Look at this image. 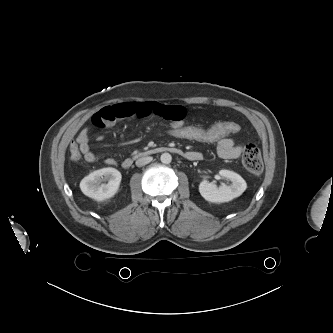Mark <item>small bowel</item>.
<instances>
[{"label":"small bowel","mask_w":333,"mask_h":333,"mask_svg":"<svg viewBox=\"0 0 333 333\" xmlns=\"http://www.w3.org/2000/svg\"><path fill=\"white\" fill-rule=\"evenodd\" d=\"M156 116L173 124H183L185 122L186 110L182 106L168 105L159 102H126L111 106H106L97 111L91 118L94 125L98 127H110L117 121L130 117H148ZM102 136H98L97 140L101 141ZM77 145L84 159L89 163L99 160V156L95 154L89 146V129L84 127L80 130L76 138ZM243 151V144L235 141L233 138H224L217 142L218 155L227 160L238 158ZM186 157L190 160H199L201 154L198 152H187ZM107 165L116 164L114 158L108 157L104 160Z\"/></svg>","instance_id":"1"}]
</instances>
